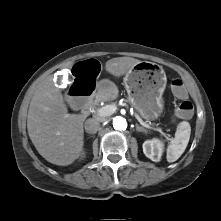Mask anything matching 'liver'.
I'll return each instance as SVG.
<instances>
[{"label":"liver","instance_id":"obj_1","mask_svg":"<svg viewBox=\"0 0 221 221\" xmlns=\"http://www.w3.org/2000/svg\"><path fill=\"white\" fill-rule=\"evenodd\" d=\"M141 62L131 57L110 59L107 72L120 77ZM85 116L69 114L61 91L46 78L35 91L28 110L27 130L38 153L48 162L68 166L82 153Z\"/></svg>","mask_w":221,"mask_h":221}]
</instances>
